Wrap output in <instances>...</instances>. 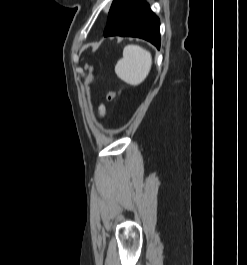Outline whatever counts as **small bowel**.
Here are the masks:
<instances>
[{"instance_id":"c3829d8e","label":"small bowel","mask_w":247,"mask_h":265,"mask_svg":"<svg viewBox=\"0 0 247 265\" xmlns=\"http://www.w3.org/2000/svg\"><path fill=\"white\" fill-rule=\"evenodd\" d=\"M99 114L100 116L104 115V107L102 105L99 107Z\"/></svg>"}]
</instances>
